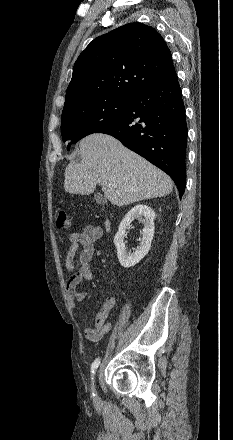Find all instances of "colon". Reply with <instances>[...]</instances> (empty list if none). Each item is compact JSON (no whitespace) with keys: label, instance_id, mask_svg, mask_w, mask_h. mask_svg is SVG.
<instances>
[{"label":"colon","instance_id":"5ec220e1","mask_svg":"<svg viewBox=\"0 0 233 440\" xmlns=\"http://www.w3.org/2000/svg\"><path fill=\"white\" fill-rule=\"evenodd\" d=\"M55 223L57 228L59 229H64L68 227V217L66 215V212L61 207H58L56 209Z\"/></svg>","mask_w":233,"mask_h":440}]
</instances>
